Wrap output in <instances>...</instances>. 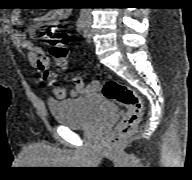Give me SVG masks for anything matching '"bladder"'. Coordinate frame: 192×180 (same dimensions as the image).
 Wrapping results in <instances>:
<instances>
[{"mask_svg": "<svg viewBox=\"0 0 192 180\" xmlns=\"http://www.w3.org/2000/svg\"><path fill=\"white\" fill-rule=\"evenodd\" d=\"M48 109L58 124L72 129L88 127L117 112L113 102L98 95L74 100H50Z\"/></svg>", "mask_w": 192, "mask_h": 180, "instance_id": "bladder-1", "label": "bladder"}]
</instances>
